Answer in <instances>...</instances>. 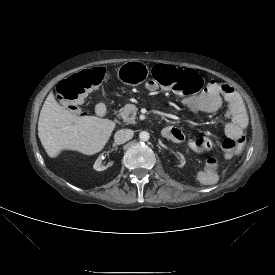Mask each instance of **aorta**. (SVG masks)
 <instances>
[{
  "mask_svg": "<svg viewBox=\"0 0 275 275\" xmlns=\"http://www.w3.org/2000/svg\"><path fill=\"white\" fill-rule=\"evenodd\" d=\"M139 138H140V140H142V141H148L149 138H150V134H149L147 131H141V132L139 133Z\"/></svg>",
  "mask_w": 275,
  "mask_h": 275,
  "instance_id": "1",
  "label": "aorta"
}]
</instances>
